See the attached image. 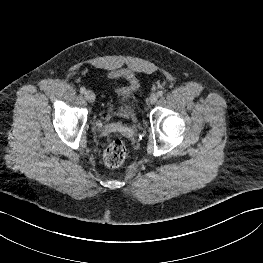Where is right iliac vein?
<instances>
[{
  "label": "right iliac vein",
  "mask_w": 263,
  "mask_h": 263,
  "mask_svg": "<svg viewBox=\"0 0 263 263\" xmlns=\"http://www.w3.org/2000/svg\"><path fill=\"white\" fill-rule=\"evenodd\" d=\"M85 99L89 102V103H93L95 101V94L93 91L91 90H87L84 94Z\"/></svg>",
  "instance_id": "1"
}]
</instances>
